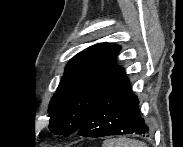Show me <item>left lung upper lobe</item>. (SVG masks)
<instances>
[{
    "label": "left lung upper lobe",
    "instance_id": "obj_1",
    "mask_svg": "<svg viewBox=\"0 0 183 147\" xmlns=\"http://www.w3.org/2000/svg\"><path fill=\"white\" fill-rule=\"evenodd\" d=\"M120 46L100 43L75 55L67 64L49 107V129L69 136L80 128L98 100L126 76L115 64Z\"/></svg>",
    "mask_w": 183,
    "mask_h": 147
}]
</instances>
